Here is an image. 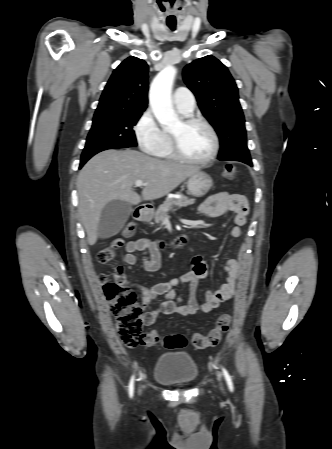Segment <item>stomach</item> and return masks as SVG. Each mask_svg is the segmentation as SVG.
<instances>
[{"instance_id": "obj_1", "label": "stomach", "mask_w": 332, "mask_h": 449, "mask_svg": "<svg viewBox=\"0 0 332 449\" xmlns=\"http://www.w3.org/2000/svg\"><path fill=\"white\" fill-rule=\"evenodd\" d=\"M213 185L212 178L203 171H198L187 180L188 192L194 197H202L208 193ZM148 217V215L146 214Z\"/></svg>"}]
</instances>
